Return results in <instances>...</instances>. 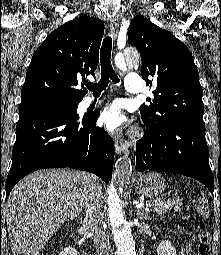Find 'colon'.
<instances>
[{
    "label": "colon",
    "instance_id": "5ec220e1",
    "mask_svg": "<svg viewBox=\"0 0 221 255\" xmlns=\"http://www.w3.org/2000/svg\"><path fill=\"white\" fill-rule=\"evenodd\" d=\"M197 210L201 217L208 218L210 215V204L207 198L197 199ZM211 252V232L204 222L199 224L197 255H210Z\"/></svg>",
    "mask_w": 221,
    "mask_h": 255
}]
</instances>
